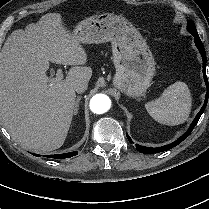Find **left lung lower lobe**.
I'll list each match as a JSON object with an SVG mask.
<instances>
[{
	"label": "left lung lower lobe",
	"mask_w": 209,
	"mask_h": 209,
	"mask_svg": "<svg viewBox=\"0 0 209 209\" xmlns=\"http://www.w3.org/2000/svg\"><path fill=\"white\" fill-rule=\"evenodd\" d=\"M194 36V42L195 45L197 46V48L199 49V52L202 56V60H203V77H204V81L206 83V87H207V93H206V98L203 104V107L201 108L200 112L197 114L196 118L193 120L192 124L190 125L189 129L187 130V132H185L180 138H178L175 142L162 146V147H158V148H150V147H144L141 145H136V149L144 154H151V153H159V152H163V151H167L175 146H177L178 144H180L185 138H187L190 133L192 132V130L194 129V127L196 126L199 118L201 117L202 113L204 112L207 102H208V96H209V84H208V80H207V76H206V52L203 46L202 41L200 40V37L198 34L193 35ZM127 135V139L130 143H132V139L129 137L128 134Z\"/></svg>",
	"instance_id": "obj_1"
}]
</instances>
